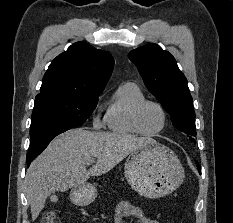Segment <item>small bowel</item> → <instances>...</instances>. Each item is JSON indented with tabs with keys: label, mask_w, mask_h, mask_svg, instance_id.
I'll return each mask as SVG.
<instances>
[{
	"label": "small bowel",
	"mask_w": 233,
	"mask_h": 223,
	"mask_svg": "<svg viewBox=\"0 0 233 223\" xmlns=\"http://www.w3.org/2000/svg\"><path fill=\"white\" fill-rule=\"evenodd\" d=\"M130 217L135 218L136 223H158L157 220L147 217L138 206L129 201L119 202L114 211V223H124V220Z\"/></svg>",
	"instance_id": "c3829d8e"
}]
</instances>
